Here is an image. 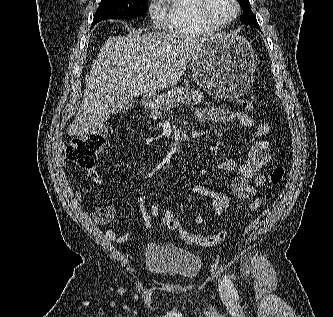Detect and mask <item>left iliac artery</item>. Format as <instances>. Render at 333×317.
I'll return each instance as SVG.
<instances>
[{
  "label": "left iliac artery",
  "mask_w": 333,
  "mask_h": 317,
  "mask_svg": "<svg viewBox=\"0 0 333 317\" xmlns=\"http://www.w3.org/2000/svg\"><path fill=\"white\" fill-rule=\"evenodd\" d=\"M224 282H225V285L227 286L229 293L231 295H236L237 294L236 288H235L233 282L231 281V279L229 278V276L224 275Z\"/></svg>",
  "instance_id": "left-iliac-artery-1"
}]
</instances>
